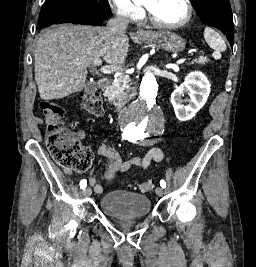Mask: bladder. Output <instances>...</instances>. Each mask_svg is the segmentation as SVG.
Segmentation results:
<instances>
[{
	"instance_id": "bladder-1",
	"label": "bladder",
	"mask_w": 256,
	"mask_h": 267,
	"mask_svg": "<svg viewBox=\"0 0 256 267\" xmlns=\"http://www.w3.org/2000/svg\"><path fill=\"white\" fill-rule=\"evenodd\" d=\"M100 210L117 218H139L150 214V198L142 194L113 190L101 197Z\"/></svg>"
}]
</instances>
